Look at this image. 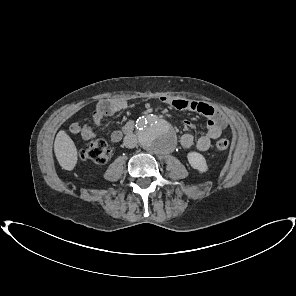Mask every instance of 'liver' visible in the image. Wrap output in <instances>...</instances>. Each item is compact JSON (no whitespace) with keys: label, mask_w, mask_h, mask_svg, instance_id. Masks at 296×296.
Masks as SVG:
<instances>
[{"label":"liver","mask_w":296,"mask_h":296,"mask_svg":"<svg viewBox=\"0 0 296 296\" xmlns=\"http://www.w3.org/2000/svg\"><path fill=\"white\" fill-rule=\"evenodd\" d=\"M54 152L60 166L68 171L74 169L77 164V148L69 135L60 130L55 138Z\"/></svg>","instance_id":"1"}]
</instances>
